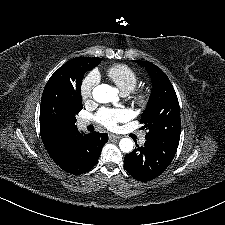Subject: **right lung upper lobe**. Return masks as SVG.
Returning <instances> with one entry per match:
<instances>
[{
  "mask_svg": "<svg viewBox=\"0 0 225 225\" xmlns=\"http://www.w3.org/2000/svg\"><path fill=\"white\" fill-rule=\"evenodd\" d=\"M86 60V57L71 59L55 71L48 81L50 82L55 79H64L68 77L73 72L82 68ZM40 133L49 156L54 162H57L65 154L69 141L78 133V129L77 127H73L68 130H49L40 124Z\"/></svg>",
  "mask_w": 225,
  "mask_h": 225,
  "instance_id": "1",
  "label": "right lung upper lobe"
}]
</instances>
